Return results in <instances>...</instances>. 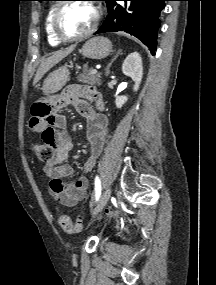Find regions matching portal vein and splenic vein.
Returning a JSON list of instances; mask_svg holds the SVG:
<instances>
[{
  "label": "portal vein and splenic vein",
  "mask_w": 216,
  "mask_h": 285,
  "mask_svg": "<svg viewBox=\"0 0 216 285\" xmlns=\"http://www.w3.org/2000/svg\"><path fill=\"white\" fill-rule=\"evenodd\" d=\"M96 73H98V71H97L96 69H93V70L91 71V74H96Z\"/></svg>",
  "instance_id": "18ae733b"
}]
</instances>
